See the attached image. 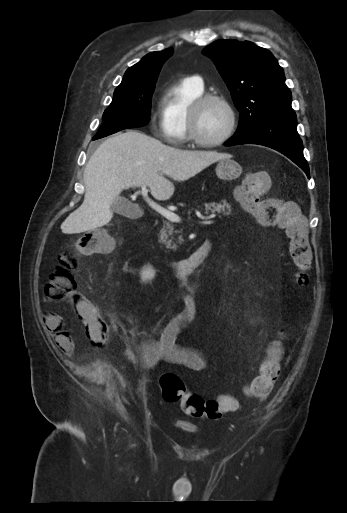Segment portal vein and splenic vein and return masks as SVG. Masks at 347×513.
<instances>
[{"mask_svg":"<svg viewBox=\"0 0 347 513\" xmlns=\"http://www.w3.org/2000/svg\"><path fill=\"white\" fill-rule=\"evenodd\" d=\"M138 187L141 188V194H142L143 198L145 199V201L148 203V205L152 209H154L156 212H158L159 214H161L162 216H164L166 219H168L171 222H180L181 221V218L179 217V215H177L176 213H174L170 210H167V209L161 207L160 205L156 204L155 202H153L149 198L146 186L144 184H141ZM212 218H213V216L207 217L201 223L202 224H212L213 223V220H211Z\"/></svg>","mask_w":347,"mask_h":513,"instance_id":"1","label":"portal vein and splenic vein"}]
</instances>
